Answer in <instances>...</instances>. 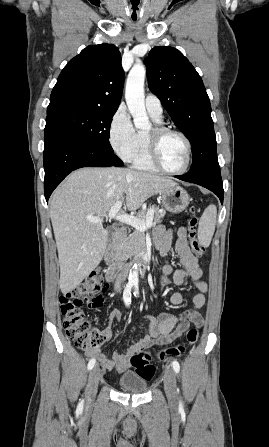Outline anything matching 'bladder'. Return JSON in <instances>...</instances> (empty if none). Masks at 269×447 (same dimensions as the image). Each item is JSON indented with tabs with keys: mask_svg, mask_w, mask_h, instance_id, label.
Here are the masks:
<instances>
[{
	"mask_svg": "<svg viewBox=\"0 0 269 447\" xmlns=\"http://www.w3.org/2000/svg\"><path fill=\"white\" fill-rule=\"evenodd\" d=\"M116 384L121 392L144 394L148 390V382L140 372H127L117 377Z\"/></svg>",
	"mask_w": 269,
	"mask_h": 447,
	"instance_id": "1",
	"label": "bladder"
}]
</instances>
